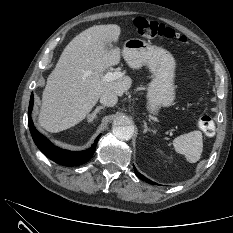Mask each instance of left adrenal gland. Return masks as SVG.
I'll use <instances>...</instances> for the list:
<instances>
[{
	"label": "left adrenal gland",
	"instance_id": "a2214340",
	"mask_svg": "<svg viewBox=\"0 0 233 233\" xmlns=\"http://www.w3.org/2000/svg\"><path fill=\"white\" fill-rule=\"evenodd\" d=\"M143 123H144V130H143V133L144 134H146L148 131L149 132H152V133H156V130H153V129H150V128H148V126H147V123L145 122V121H143Z\"/></svg>",
	"mask_w": 233,
	"mask_h": 233
}]
</instances>
